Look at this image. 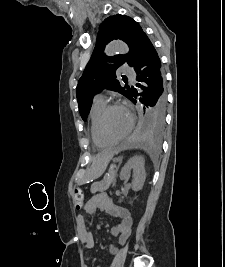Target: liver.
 I'll return each mask as SVG.
<instances>
[{
  "label": "liver",
  "instance_id": "1",
  "mask_svg": "<svg viewBox=\"0 0 225 267\" xmlns=\"http://www.w3.org/2000/svg\"><path fill=\"white\" fill-rule=\"evenodd\" d=\"M99 157H100V156H98V157L95 159V161H96V160H98V159H99ZM92 172H93V171H92Z\"/></svg>",
  "mask_w": 225,
  "mask_h": 267
}]
</instances>
